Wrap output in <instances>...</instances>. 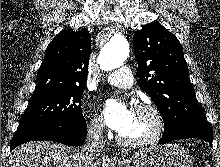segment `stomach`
<instances>
[{
  "label": "stomach",
  "mask_w": 220,
  "mask_h": 167,
  "mask_svg": "<svg viewBox=\"0 0 220 167\" xmlns=\"http://www.w3.org/2000/svg\"><path fill=\"white\" fill-rule=\"evenodd\" d=\"M125 167H192L189 154L177 145L143 148L125 160Z\"/></svg>",
  "instance_id": "1"
}]
</instances>
